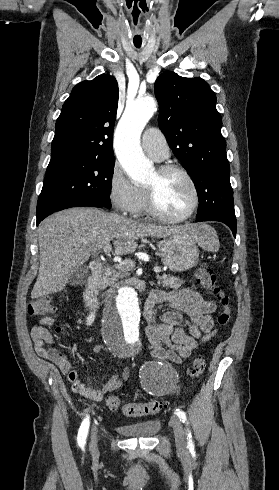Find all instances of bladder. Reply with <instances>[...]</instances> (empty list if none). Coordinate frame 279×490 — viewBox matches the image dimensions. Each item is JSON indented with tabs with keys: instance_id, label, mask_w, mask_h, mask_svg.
Returning <instances> with one entry per match:
<instances>
[{
	"instance_id": "obj_1",
	"label": "bladder",
	"mask_w": 279,
	"mask_h": 490,
	"mask_svg": "<svg viewBox=\"0 0 279 490\" xmlns=\"http://www.w3.org/2000/svg\"><path fill=\"white\" fill-rule=\"evenodd\" d=\"M160 428L161 421L157 418L149 421L119 423L116 426V430L119 431L123 437L129 438L153 437Z\"/></svg>"
}]
</instances>
